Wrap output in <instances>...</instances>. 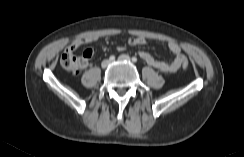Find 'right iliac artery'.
<instances>
[{
	"label": "right iliac artery",
	"mask_w": 244,
	"mask_h": 157,
	"mask_svg": "<svg viewBox=\"0 0 244 157\" xmlns=\"http://www.w3.org/2000/svg\"><path fill=\"white\" fill-rule=\"evenodd\" d=\"M109 60H110V61H114V60H115V56H114V55H111V56L109 57Z\"/></svg>",
	"instance_id": "right-iliac-artery-1"
}]
</instances>
